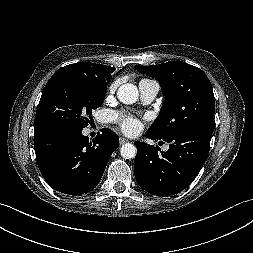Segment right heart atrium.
Instances as JSON below:
<instances>
[{
    "instance_id": "obj_1",
    "label": "right heart atrium",
    "mask_w": 253,
    "mask_h": 253,
    "mask_svg": "<svg viewBox=\"0 0 253 253\" xmlns=\"http://www.w3.org/2000/svg\"><path fill=\"white\" fill-rule=\"evenodd\" d=\"M118 84H119L118 81L113 82V83L109 86L108 92H109L110 94H113V93L116 91V89H117V87H118Z\"/></svg>"
}]
</instances>
